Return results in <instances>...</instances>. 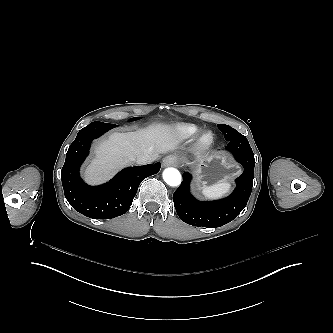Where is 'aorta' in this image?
I'll return each instance as SVG.
<instances>
[{"label": "aorta", "instance_id": "762f6f07", "mask_svg": "<svg viewBox=\"0 0 333 333\" xmlns=\"http://www.w3.org/2000/svg\"><path fill=\"white\" fill-rule=\"evenodd\" d=\"M163 179L170 187H178L182 183V175L176 168L165 169Z\"/></svg>", "mask_w": 333, "mask_h": 333}]
</instances>
